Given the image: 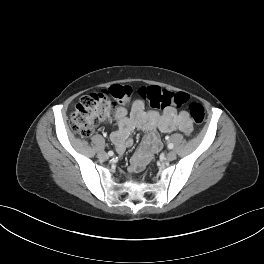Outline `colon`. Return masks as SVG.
I'll return each instance as SVG.
<instances>
[{"instance_id":"5ec220e1","label":"colon","mask_w":264,"mask_h":264,"mask_svg":"<svg viewBox=\"0 0 264 264\" xmlns=\"http://www.w3.org/2000/svg\"><path fill=\"white\" fill-rule=\"evenodd\" d=\"M138 93L149 105L156 109L181 107L189 97L184 92H171L158 86H142ZM132 95L128 85H115L108 91H99L82 96L75 106L69 121L73 132L81 137L90 136L97 127L110 120L115 113L117 104L127 101ZM189 115L196 124L205 119V108L199 102H191Z\"/></svg>"}]
</instances>
